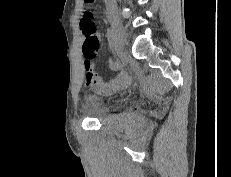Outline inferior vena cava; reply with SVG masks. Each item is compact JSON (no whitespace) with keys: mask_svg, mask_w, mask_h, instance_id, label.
<instances>
[{"mask_svg":"<svg viewBox=\"0 0 231 177\" xmlns=\"http://www.w3.org/2000/svg\"><path fill=\"white\" fill-rule=\"evenodd\" d=\"M116 0H105V2H108V3H113L115 2Z\"/></svg>","mask_w":231,"mask_h":177,"instance_id":"1","label":"inferior vena cava"}]
</instances>
